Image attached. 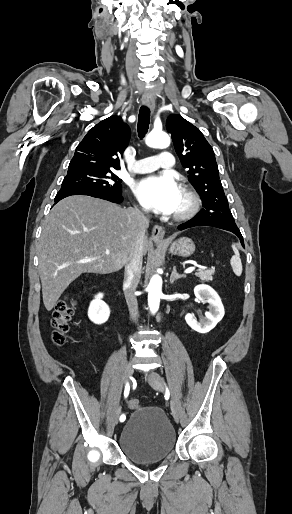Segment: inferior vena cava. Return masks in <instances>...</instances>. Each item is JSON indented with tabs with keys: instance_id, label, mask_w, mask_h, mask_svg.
Listing matches in <instances>:
<instances>
[{
	"instance_id": "obj_1",
	"label": "inferior vena cava",
	"mask_w": 292,
	"mask_h": 514,
	"mask_svg": "<svg viewBox=\"0 0 292 514\" xmlns=\"http://www.w3.org/2000/svg\"><path fill=\"white\" fill-rule=\"evenodd\" d=\"M133 218H135L134 228L136 232V238L132 252L125 264L124 282L126 284L125 298L129 312L133 320H137L138 316V302L134 292L139 284V276L142 270V258H143V238L145 232L149 226V220L147 216H144L139 210H133L131 212Z\"/></svg>"
}]
</instances>
